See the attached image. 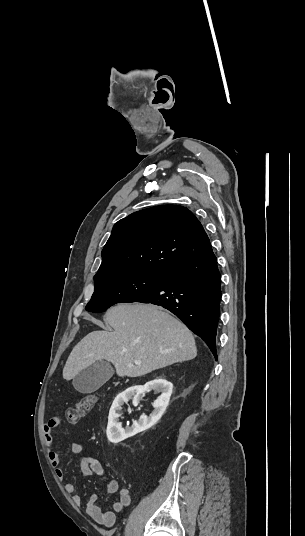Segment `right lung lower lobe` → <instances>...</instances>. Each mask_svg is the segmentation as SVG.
<instances>
[{
    "label": "right lung lower lobe",
    "mask_w": 305,
    "mask_h": 536,
    "mask_svg": "<svg viewBox=\"0 0 305 536\" xmlns=\"http://www.w3.org/2000/svg\"><path fill=\"white\" fill-rule=\"evenodd\" d=\"M221 275L213 251L172 271L136 302L161 305L200 336L217 358L216 330L220 315Z\"/></svg>",
    "instance_id": "obj_1"
}]
</instances>
